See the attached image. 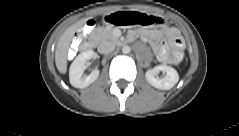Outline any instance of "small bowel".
<instances>
[{"label":"small bowel","instance_id":"c3829d8e","mask_svg":"<svg viewBox=\"0 0 239 136\" xmlns=\"http://www.w3.org/2000/svg\"><path fill=\"white\" fill-rule=\"evenodd\" d=\"M86 30V27H85ZM134 34H139L141 33V30H135L133 32ZM169 36L172 39V43L174 45L173 50H169L167 43L162 42L156 47V55L157 58L160 62L167 64V65H172L181 60L182 58V47H183V41L178 35V32L176 31H171L169 33Z\"/></svg>","mask_w":239,"mask_h":136}]
</instances>
